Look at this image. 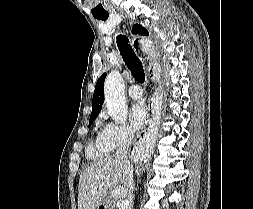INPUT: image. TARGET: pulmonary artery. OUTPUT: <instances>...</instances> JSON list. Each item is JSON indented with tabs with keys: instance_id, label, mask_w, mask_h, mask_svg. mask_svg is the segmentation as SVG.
Wrapping results in <instances>:
<instances>
[{
	"instance_id": "pulmonary-artery-1",
	"label": "pulmonary artery",
	"mask_w": 253,
	"mask_h": 209,
	"mask_svg": "<svg viewBox=\"0 0 253 209\" xmlns=\"http://www.w3.org/2000/svg\"><path fill=\"white\" fill-rule=\"evenodd\" d=\"M128 94L133 99H139L142 97L143 92L139 85L134 84L128 89Z\"/></svg>"
}]
</instances>
